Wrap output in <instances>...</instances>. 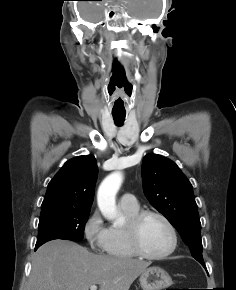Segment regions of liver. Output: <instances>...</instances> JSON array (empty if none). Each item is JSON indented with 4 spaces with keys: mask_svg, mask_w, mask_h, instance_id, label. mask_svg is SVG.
Instances as JSON below:
<instances>
[{
    "mask_svg": "<svg viewBox=\"0 0 236 290\" xmlns=\"http://www.w3.org/2000/svg\"><path fill=\"white\" fill-rule=\"evenodd\" d=\"M150 265L128 257L96 255L77 243L52 240L34 254L27 290H129Z\"/></svg>",
    "mask_w": 236,
    "mask_h": 290,
    "instance_id": "liver-1",
    "label": "liver"
}]
</instances>
